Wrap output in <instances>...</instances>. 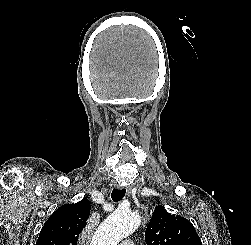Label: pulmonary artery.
Returning <instances> with one entry per match:
<instances>
[{"label":"pulmonary artery","mask_w":251,"mask_h":245,"mask_svg":"<svg viewBox=\"0 0 251 245\" xmlns=\"http://www.w3.org/2000/svg\"><path fill=\"white\" fill-rule=\"evenodd\" d=\"M120 245H134L131 241L124 240Z\"/></svg>","instance_id":"obj_1"}]
</instances>
